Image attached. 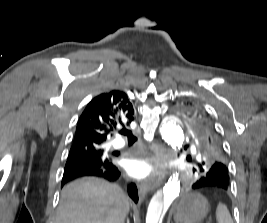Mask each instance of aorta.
Segmentation results:
<instances>
[{"instance_id": "1", "label": "aorta", "mask_w": 267, "mask_h": 223, "mask_svg": "<svg viewBox=\"0 0 267 223\" xmlns=\"http://www.w3.org/2000/svg\"><path fill=\"white\" fill-rule=\"evenodd\" d=\"M160 134L162 139L174 150H180L184 141V133L178 117H166L160 128ZM181 189L179 174L175 173L169 178L163 189L152 197L147 209L146 223H162L166 211L179 196Z\"/></svg>"}]
</instances>
